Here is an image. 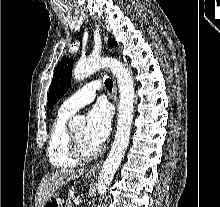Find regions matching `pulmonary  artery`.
<instances>
[{
	"instance_id": "e3ab8cb5",
	"label": "pulmonary artery",
	"mask_w": 220,
	"mask_h": 207,
	"mask_svg": "<svg viewBox=\"0 0 220 207\" xmlns=\"http://www.w3.org/2000/svg\"><path fill=\"white\" fill-rule=\"evenodd\" d=\"M101 88L99 81H92L67 98L60 107V112L74 114L95 98L96 92Z\"/></svg>"
}]
</instances>
